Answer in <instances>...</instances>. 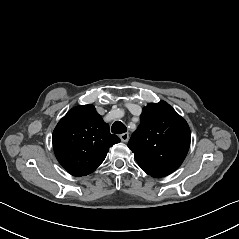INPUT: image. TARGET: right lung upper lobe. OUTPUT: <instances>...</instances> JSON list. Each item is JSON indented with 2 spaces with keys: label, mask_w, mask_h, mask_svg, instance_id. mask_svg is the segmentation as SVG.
<instances>
[{
  "label": "right lung upper lobe",
  "mask_w": 239,
  "mask_h": 239,
  "mask_svg": "<svg viewBox=\"0 0 239 239\" xmlns=\"http://www.w3.org/2000/svg\"><path fill=\"white\" fill-rule=\"evenodd\" d=\"M120 142L110 134L93 105L71 109L53 132V148L62 167L73 176H86L104 161L109 148Z\"/></svg>",
  "instance_id": "1"
}]
</instances>
